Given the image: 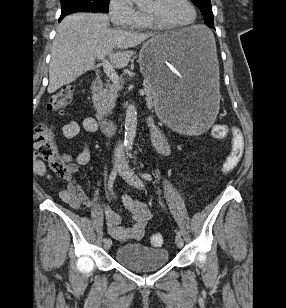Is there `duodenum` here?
<instances>
[{"label":"duodenum","mask_w":286,"mask_h":308,"mask_svg":"<svg viewBox=\"0 0 286 308\" xmlns=\"http://www.w3.org/2000/svg\"><path fill=\"white\" fill-rule=\"evenodd\" d=\"M103 87V81L100 78H96L93 80L92 84H91V91L93 94L97 95L99 93V91L102 89ZM99 126L102 129V131L110 136L114 133H116L118 131V126L117 124H115L114 122H111L109 120H106L104 118H100L98 120Z\"/></svg>","instance_id":"obj_1"}]
</instances>
